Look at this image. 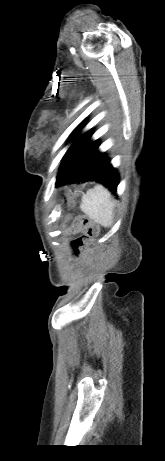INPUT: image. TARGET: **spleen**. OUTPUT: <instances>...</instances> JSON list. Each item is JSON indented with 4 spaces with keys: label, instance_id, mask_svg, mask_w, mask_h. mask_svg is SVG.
<instances>
[{
    "label": "spleen",
    "instance_id": "spleen-1",
    "mask_svg": "<svg viewBox=\"0 0 165 461\" xmlns=\"http://www.w3.org/2000/svg\"><path fill=\"white\" fill-rule=\"evenodd\" d=\"M81 210L94 222L110 227L114 219V202L110 192L102 185L87 191L82 197Z\"/></svg>",
    "mask_w": 165,
    "mask_h": 461
}]
</instances>
